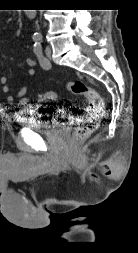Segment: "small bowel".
I'll list each match as a JSON object with an SVG mask.
<instances>
[{
	"label": "small bowel",
	"instance_id": "obj_1",
	"mask_svg": "<svg viewBox=\"0 0 138 253\" xmlns=\"http://www.w3.org/2000/svg\"><path fill=\"white\" fill-rule=\"evenodd\" d=\"M26 64L29 67V75L34 76L35 75V60L33 58H27ZM0 83L2 84V90L5 93H10L11 88L8 84V77L6 75L0 76ZM28 91V86L25 83H22L19 90L15 94H11L8 97V101L11 104H15L18 106H26L28 105V99L25 97L26 93Z\"/></svg>",
	"mask_w": 138,
	"mask_h": 253
}]
</instances>
